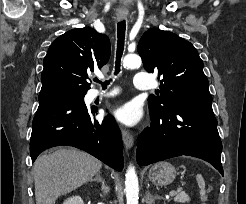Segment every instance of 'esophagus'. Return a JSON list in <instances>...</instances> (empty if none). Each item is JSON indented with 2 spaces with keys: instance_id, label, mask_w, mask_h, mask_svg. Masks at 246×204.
I'll return each mask as SVG.
<instances>
[{
  "instance_id": "1",
  "label": "esophagus",
  "mask_w": 246,
  "mask_h": 204,
  "mask_svg": "<svg viewBox=\"0 0 246 204\" xmlns=\"http://www.w3.org/2000/svg\"><path fill=\"white\" fill-rule=\"evenodd\" d=\"M124 18H125L124 15L118 16L119 20H123ZM122 139H123V143L127 149H131L133 147L134 138H133V135L129 131L122 129Z\"/></svg>"
}]
</instances>
